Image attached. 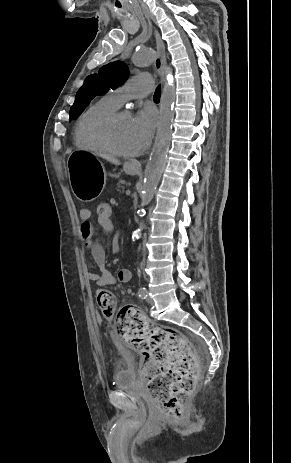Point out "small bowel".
Wrapping results in <instances>:
<instances>
[{
  "mask_svg": "<svg viewBox=\"0 0 291 463\" xmlns=\"http://www.w3.org/2000/svg\"><path fill=\"white\" fill-rule=\"evenodd\" d=\"M81 225H80V237L81 240L89 244L91 256L99 269V273L94 271H88L86 274L87 279L90 282L95 283L98 286H112L116 282L125 284L130 282L132 274L128 269H122L118 272L115 277L111 271L106 268V253L104 248L98 242L93 241L94 229L90 222L91 210L88 208H82L79 212ZM112 217V216H111ZM106 232H111L114 229L113 222L111 226H101ZM111 248L114 252L118 253L121 244V233L114 231L112 233Z\"/></svg>",
  "mask_w": 291,
  "mask_h": 463,
  "instance_id": "1",
  "label": "small bowel"
}]
</instances>
